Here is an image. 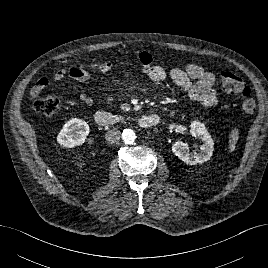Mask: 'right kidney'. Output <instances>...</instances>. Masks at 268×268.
<instances>
[{
    "mask_svg": "<svg viewBox=\"0 0 268 268\" xmlns=\"http://www.w3.org/2000/svg\"><path fill=\"white\" fill-rule=\"evenodd\" d=\"M90 132L87 122L81 119H71L65 123L57 136V142L66 148L82 145Z\"/></svg>",
    "mask_w": 268,
    "mask_h": 268,
    "instance_id": "right-kidney-1",
    "label": "right kidney"
}]
</instances>
